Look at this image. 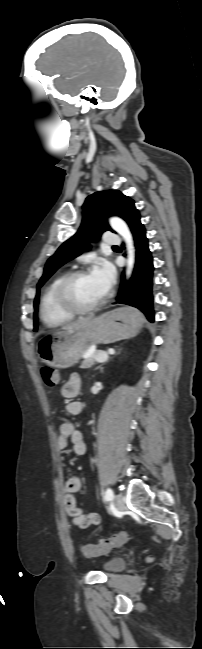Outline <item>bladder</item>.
I'll return each instance as SVG.
<instances>
[{
	"mask_svg": "<svg viewBox=\"0 0 202 649\" xmlns=\"http://www.w3.org/2000/svg\"><path fill=\"white\" fill-rule=\"evenodd\" d=\"M126 566L123 558H113L104 563L102 570L108 573H115L122 571Z\"/></svg>",
	"mask_w": 202,
	"mask_h": 649,
	"instance_id": "1",
	"label": "bladder"
}]
</instances>
